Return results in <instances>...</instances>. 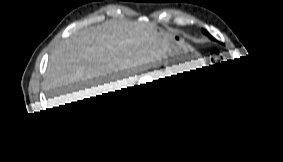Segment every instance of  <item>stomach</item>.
I'll return each mask as SVG.
<instances>
[{"mask_svg": "<svg viewBox=\"0 0 283 162\" xmlns=\"http://www.w3.org/2000/svg\"><path fill=\"white\" fill-rule=\"evenodd\" d=\"M164 53L165 71L159 78L162 86L171 93L167 101L180 106V110L197 106L206 93L208 75L202 56L181 37L155 26Z\"/></svg>", "mask_w": 283, "mask_h": 162, "instance_id": "0dacf381", "label": "stomach"}]
</instances>
